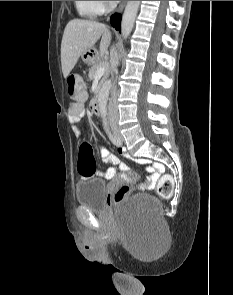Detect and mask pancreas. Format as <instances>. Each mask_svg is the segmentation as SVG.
Returning a JSON list of instances; mask_svg holds the SVG:
<instances>
[{
	"mask_svg": "<svg viewBox=\"0 0 233 295\" xmlns=\"http://www.w3.org/2000/svg\"><path fill=\"white\" fill-rule=\"evenodd\" d=\"M102 65H106V63L103 60H97L92 67L89 70V78L91 80H93L96 76V71L97 69L102 66ZM108 73H106L103 78L100 80L98 87H97V92L99 91V89L101 88V86L104 84L105 80L107 79Z\"/></svg>",
	"mask_w": 233,
	"mask_h": 295,
	"instance_id": "cf45deb5",
	"label": "pancreas"
}]
</instances>
